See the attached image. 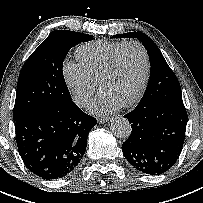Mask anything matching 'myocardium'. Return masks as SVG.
<instances>
[{
	"label": "myocardium",
	"instance_id": "f54148a6",
	"mask_svg": "<svg viewBox=\"0 0 203 203\" xmlns=\"http://www.w3.org/2000/svg\"><path fill=\"white\" fill-rule=\"evenodd\" d=\"M128 46H136L141 51V53L143 55V59H144V72H143L142 81H141V84L139 86L138 91L136 92V94L131 99L122 103V105L124 107H129V106L135 104L137 101H139L141 99V97L143 96L145 90H146L149 76H150V58H149V54H148V51L145 48V46L137 40L125 41L113 53L110 60L108 61V63L104 67V69H103V71L99 77V80H98L99 81V88H100V90H102L103 84L111 76V74L114 72L122 51Z\"/></svg>",
	"mask_w": 203,
	"mask_h": 203
}]
</instances>
